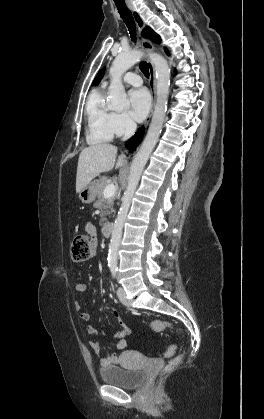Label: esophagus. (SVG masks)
I'll list each match as a JSON object with an SVG mask.
<instances>
[{"label": "esophagus", "instance_id": "1", "mask_svg": "<svg viewBox=\"0 0 264 419\" xmlns=\"http://www.w3.org/2000/svg\"><path fill=\"white\" fill-rule=\"evenodd\" d=\"M129 9L131 10L132 16L136 22V25L138 27L139 33L142 34V31L145 28V22L142 19L141 15L139 14V12L134 8V6H132L131 4H129ZM141 45L144 48L145 51L147 52H151L155 49V46L153 44V42L145 37H142L141 39ZM148 67H149V73H150V89L152 92V109H151V113L149 115V117L147 118V120L145 121L144 126L147 127L150 123L151 120V116L155 107V98H156V75H155V68L153 63L151 62V60H148Z\"/></svg>", "mask_w": 264, "mask_h": 419}]
</instances>
